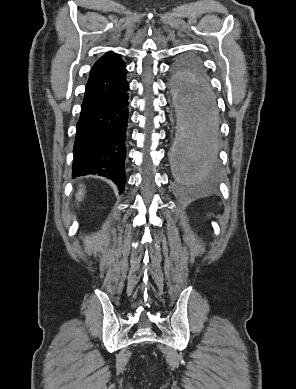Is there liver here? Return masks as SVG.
<instances>
[{
  "instance_id": "6515ba94",
  "label": "liver",
  "mask_w": 296,
  "mask_h": 389,
  "mask_svg": "<svg viewBox=\"0 0 296 389\" xmlns=\"http://www.w3.org/2000/svg\"><path fill=\"white\" fill-rule=\"evenodd\" d=\"M83 196H84V189H79L78 194H76V199L78 201H81Z\"/></svg>"
}]
</instances>
